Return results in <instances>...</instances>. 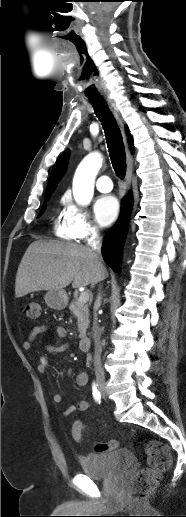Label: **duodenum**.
<instances>
[{"label": "duodenum", "mask_w": 186, "mask_h": 517, "mask_svg": "<svg viewBox=\"0 0 186 517\" xmlns=\"http://www.w3.org/2000/svg\"><path fill=\"white\" fill-rule=\"evenodd\" d=\"M91 347V339L88 336L81 337L79 339V348L82 351H89Z\"/></svg>", "instance_id": "obj_1"}]
</instances>
